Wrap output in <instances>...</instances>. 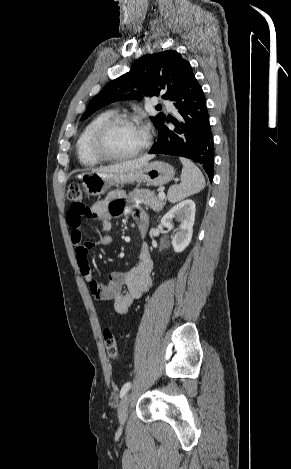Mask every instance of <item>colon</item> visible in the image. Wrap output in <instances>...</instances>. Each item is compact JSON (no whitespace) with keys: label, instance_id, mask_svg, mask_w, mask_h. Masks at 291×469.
Instances as JSON below:
<instances>
[{"label":"colon","instance_id":"1","mask_svg":"<svg viewBox=\"0 0 291 469\" xmlns=\"http://www.w3.org/2000/svg\"><path fill=\"white\" fill-rule=\"evenodd\" d=\"M67 198L72 203V207H74L78 212L88 214L89 208L85 207L82 204L83 192L78 184H72L68 188ZM104 345L107 354L115 359L119 356V349L113 333L106 329L104 330Z\"/></svg>","mask_w":291,"mask_h":469}]
</instances>
